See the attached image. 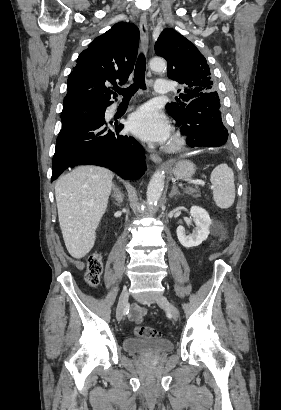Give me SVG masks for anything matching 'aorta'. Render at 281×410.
Here are the masks:
<instances>
[{"instance_id":"762f6f07","label":"aorta","mask_w":281,"mask_h":410,"mask_svg":"<svg viewBox=\"0 0 281 410\" xmlns=\"http://www.w3.org/2000/svg\"><path fill=\"white\" fill-rule=\"evenodd\" d=\"M150 68L156 72H165L167 64L163 59H152L150 61ZM165 175L163 171H156L151 178L147 188V203L150 206L155 205L161 195L164 188Z\"/></svg>"}]
</instances>
